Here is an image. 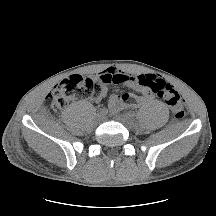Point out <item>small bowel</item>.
<instances>
[{"label":"small bowel","mask_w":216,"mask_h":216,"mask_svg":"<svg viewBox=\"0 0 216 216\" xmlns=\"http://www.w3.org/2000/svg\"><path fill=\"white\" fill-rule=\"evenodd\" d=\"M97 78L102 83V86L99 97L95 99L96 102H100L109 95L110 89L108 86L111 84L124 85L135 91L132 93L133 102L128 104L117 96H111L109 99V106L113 111L124 109L126 107L135 108L149 101L152 98L153 93L146 85V81L150 79H161L160 77L151 74L131 76L115 68H108L102 71L97 75Z\"/></svg>","instance_id":"c3829d8e"}]
</instances>
